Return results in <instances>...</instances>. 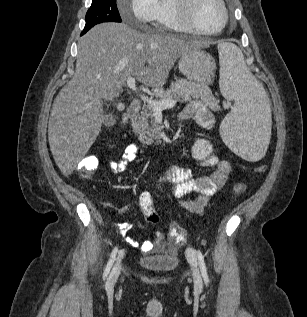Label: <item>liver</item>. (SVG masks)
<instances>
[{"mask_svg": "<svg viewBox=\"0 0 307 317\" xmlns=\"http://www.w3.org/2000/svg\"><path fill=\"white\" fill-rule=\"evenodd\" d=\"M209 45L124 23H103L87 32L78 41L75 74L55 98L49 118V146L63 175L73 172L96 140L105 119L103 99L117 98L129 77L162 87L182 53Z\"/></svg>", "mask_w": 307, "mask_h": 317, "instance_id": "liver-1", "label": "liver"}]
</instances>
